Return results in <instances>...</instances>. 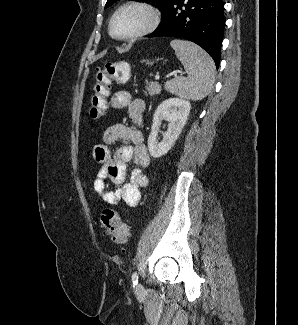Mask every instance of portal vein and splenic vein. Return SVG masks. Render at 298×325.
Returning <instances> with one entry per match:
<instances>
[{"mask_svg":"<svg viewBox=\"0 0 298 325\" xmlns=\"http://www.w3.org/2000/svg\"><path fill=\"white\" fill-rule=\"evenodd\" d=\"M155 78L158 80V78H160L159 74H156Z\"/></svg>","mask_w":298,"mask_h":325,"instance_id":"18ae733b","label":"portal vein and splenic vein"}]
</instances>
